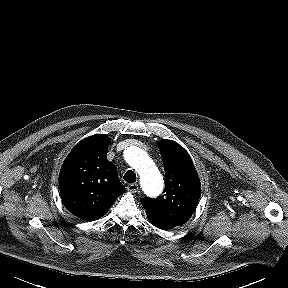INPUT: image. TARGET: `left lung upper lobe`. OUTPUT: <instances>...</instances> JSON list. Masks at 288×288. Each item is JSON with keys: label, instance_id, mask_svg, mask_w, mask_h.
I'll return each mask as SVG.
<instances>
[{"label": "left lung upper lobe", "instance_id": "5c2ea615", "mask_svg": "<svg viewBox=\"0 0 288 288\" xmlns=\"http://www.w3.org/2000/svg\"><path fill=\"white\" fill-rule=\"evenodd\" d=\"M166 182L163 195L140 199L151 223L172 229L186 223L200 199V181L188 153L176 142L161 140Z\"/></svg>", "mask_w": 288, "mask_h": 288}]
</instances>
